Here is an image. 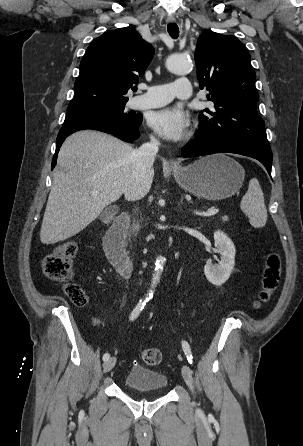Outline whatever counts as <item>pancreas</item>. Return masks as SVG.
Listing matches in <instances>:
<instances>
[{
	"instance_id": "obj_1",
	"label": "pancreas",
	"mask_w": 303,
	"mask_h": 446,
	"mask_svg": "<svg viewBox=\"0 0 303 446\" xmlns=\"http://www.w3.org/2000/svg\"><path fill=\"white\" fill-rule=\"evenodd\" d=\"M223 222L227 221V217H222Z\"/></svg>"
}]
</instances>
